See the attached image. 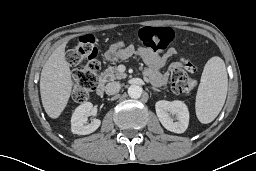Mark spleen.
Segmentation results:
<instances>
[{"mask_svg": "<svg viewBox=\"0 0 256 171\" xmlns=\"http://www.w3.org/2000/svg\"><path fill=\"white\" fill-rule=\"evenodd\" d=\"M228 76L222 58L214 56L205 64L198 87L195 109L203 124L212 122L220 113L226 100Z\"/></svg>", "mask_w": 256, "mask_h": 171, "instance_id": "1", "label": "spleen"}]
</instances>
